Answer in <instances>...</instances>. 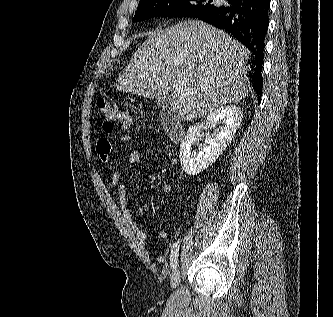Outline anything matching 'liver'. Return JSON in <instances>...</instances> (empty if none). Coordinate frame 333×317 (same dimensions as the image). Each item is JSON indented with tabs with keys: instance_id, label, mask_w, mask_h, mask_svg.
Masks as SVG:
<instances>
[{
	"instance_id": "6515ba94",
	"label": "liver",
	"mask_w": 333,
	"mask_h": 317,
	"mask_svg": "<svg viewBox=\"0 0 333 317\" xmlns=\"http://www.w3.org/2000/svg\"><path fill=\"white\" fill-rule=\"evenodd\" d=\"M247 54L224 31L198 20L182 21L150 35L118 78L116 89L154 98L181 86L186 96L172 104L171 113L194 120L248 95Z\"/></svg>"
}]
</instances>
